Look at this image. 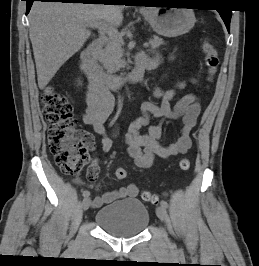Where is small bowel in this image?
Returning a JSON list of instances; mask_svg holds the SVG:
<instances>
[{
    "instance_id": "1",
    "label": "small bowel",
    "mask_w": 259,
    "mask_h": 266,
    "mask_svg": "<svg viewBox=\"0 0 259 266\" xmlns=\"http://www.w3.org/2000/svg\"><path fill=\"white\" fill-rule=\"evenodd\" d=\"M147 61L148 70H153L159 64V58L140 55ZM188 82L195 83V79L189 81H180L176 89H183ZM153 92L156 97L162 100L160 105L145 103L142 106V116L136 119L125 134V142L128 146L127 151L135 165L140 168H149L153 164L154 158H169L173 155L186 153L192 144L191 132L196 126L197 119L201 112V104L194 94H187L172 107L170 101L175 95V89H163L154 87ZM87 107L82 114V120L85 124L92 125L94 130L103 135V151L108 152L112 146V134H109L105 127V122L114 109V98L107 89L99 88L92 82H89ZM181 119L182 127L178 139L169 145L161 143L163 123L167 120ZM141 127H148L145 134H140ZM99 167L94 160L88 168L87 178L91 184H94L98 177ZM79 180L75 179L77 183ZM138 194V188L131 183L125 187L105 192L103 195L93 199L92 207H100L115 200L126 197H135Z\"/></svg>"
}]
</instances>
